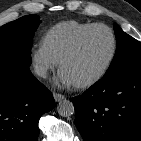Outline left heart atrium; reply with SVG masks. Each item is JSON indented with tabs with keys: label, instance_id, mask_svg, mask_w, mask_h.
Here are the masks:
<instances>
[{
	"label": "left heart atrium",
	"instance_id": "1",
	"mask_svg": "<svg viewBox=\"0 0 141 141\" xmlns=\"http://www.w3.org/2000/svg\"><path fill=\"white\" fill-rule=\"evenodd\" d=\"M55 83L56 85L61 86V87L70 86L74 84L72 79L69 77V75L62 69L59 71L55 79Z\"/></svg>",
	"mask_w": 141,
	"mask_h": 141
}]
</instances>
